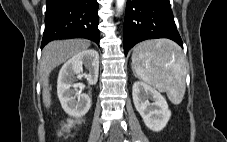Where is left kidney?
Wrapping results in <instances>:
<instances>
[{"label": "left kidney", "instance_id": "left-kidney-1", "mask_svg": "<svg viewBox=\"0 0 227 142\" xmlns=\"http://www.w3.org/2000/svg\"><path fill=\"white\" fill-rule=\"evenodd\" d=\"M132 96L145 125L152 131H161L171 117L165 98L155 88L140 81L133 84ZM149 100H153V103Z\"/></svg>", "mask_w": 227, "mask_h": 142}]
</instances>
